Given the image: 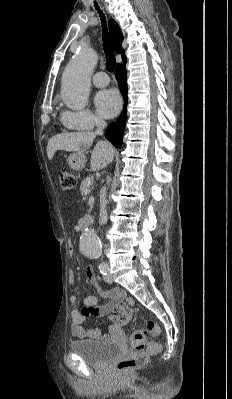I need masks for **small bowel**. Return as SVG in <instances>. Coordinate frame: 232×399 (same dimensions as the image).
<instances>
[{"mask_svg": "<svg viewBox=\"0 0 232 399\" xmlns=\"http://www.w3.org/2000/svg\"><path fill=\"white\" fill-rule=\"evenodd\" d=\"M68 248L70 255L73 256L76 251L75 243L69 241ZM91 278L93 283L96 284L98 281L97 275L93 274ZM69 284L71 287L76 286V276L73 273H70L69 275ZM106 294L113 299L111 302H98V300L93 296V293L89 291L87 296L83 299V308L81 311L71 312L72 323L70 324L69 331L71 334L78 337L79 344L98 345L101 342L112 338L113 334L118 332L122 325L131 319V308L119 301L120 298H124L125 294H122L119 289H113ZM75 300L76 296L71 294L70 301L75 302ZM127 300L131 304L134 302L132 296H127ZM92 315L109 317L112 320L109 330L107 332L87 330L82 323L87 317Z\"/></svg>", "mask_w": 232, "mask_h": 399, "instance_id": "c3829d8e", "label": "small bowel"}]
</instances>
